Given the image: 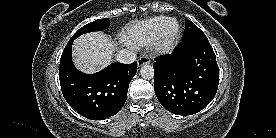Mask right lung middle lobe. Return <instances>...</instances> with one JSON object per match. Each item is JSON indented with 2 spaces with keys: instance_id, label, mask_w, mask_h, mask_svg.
<instances>
[{
  "instance_id": "1",
  "label": "right lung middle lobe",
  "mask_w": 276,
  "mask_h": 138,
  "mask_svg": "<svg viewBox=\"0 0 276 138\" xmlns=\"http://www.w3.org/2000/svg\"><path fill=\"white\" fill-rule=\"evenodd\" d=\"M108 26H109V19L108 18L95 20V21L90 22V23L86 24L85 26L81 27L72 36L71 40H74L77 37H79L80 35L88 33V32L104 30V29L108 28Z\"/></svg>"
}]
</instances>
